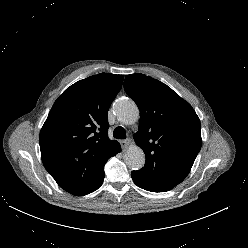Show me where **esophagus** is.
Listing matches in <instances>:
<instances>
[{"mask_svg":"<svg viewBox=\"0 0 248 248\" xmlns=\"http://www.w3.org/2000/svg\"><path fill=\"white\" fill-rule=\"evenodd\" d=\"M132 142L130 139H125L121 141V146L124 150H126L127 148H129L131 146Z\"/></svg>","mask_w":248,"mask_h":248,"instance_id":"esophagus-1","label":"esophagus"}]
</instances>
